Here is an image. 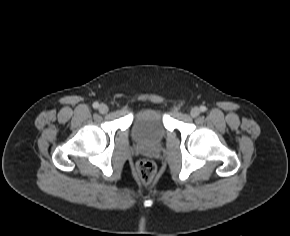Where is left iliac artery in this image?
<instances>
[{
    "mask_svg": "<svg viewBox=\"0 0 290 236\" xmlns=\"http://www.w3.org/2000/svg\"><path fill=\"white\" fill-rule=\"evenodd\" d=\"M200 110H201L202 112H205V111L207 110V108H206V106H201V107H200Z\"/></svg>",
    "mask_w": 290,
    "mask_h": 236,
    "instance_id": "obj_1",
    "label": "left iliac artery"
}]
</instances>
